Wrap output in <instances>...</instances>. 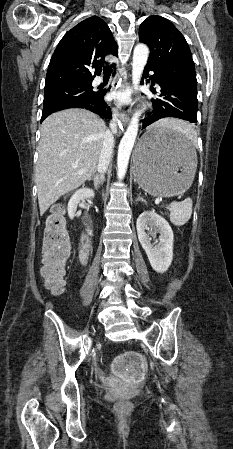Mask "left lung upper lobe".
<instances>
[{"label": "left lung upper lobe", "mask_w": 233, "mask_h": 449, "mask_svg": "<svg viewBox=\"0 0 233 449\" xmlns=\"http://www.w3.org/2000/svg\"><path fill=\"white\" fill-rule=\"evenodd\" d=\"M139 41L150 49L147 65L197 92L191 51L183 35L169 20L161 16L145 19L139 28Z\"/></svg>", "instance_id": "left-lung-upper-lobe-1"}]
</instances>
